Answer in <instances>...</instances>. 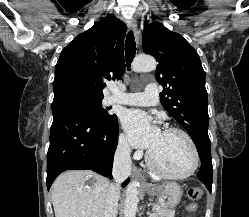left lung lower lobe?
<instances>
[{"label": "left lung lower lobe", "instance_id": "1", "mask_svg": "<svg viewBox=\"0 0 249 217\" xmlns=\"http://www.w3.org/2000/svg\"><path fill=\"white\" fill-rule=\"evenodd\" d=\"M201 168L198 172V178L204 183L206 188L211 192L212 186V174H213V167H212V160L211 158L201 159Z\"/></svg>", "mask_w": 249, "mask_h": 217}]
</instances>
